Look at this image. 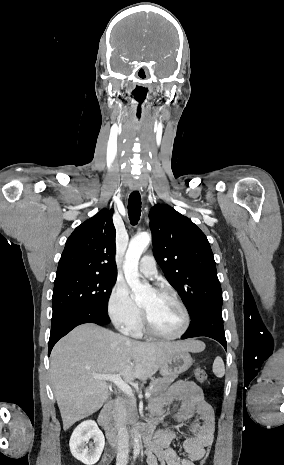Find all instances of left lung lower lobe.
Segmentation results:
<instances>
[{
  "mask_svg": "<svg viewBox=\"0 0 284 465\" xmlns=\"http://www.w3.org/2000/svg\"><path fill=\"white\" fill-rule=\"evenodd\" d=\"M206 336L217 340L227 350L223 327L222 308H206L191 318V323L182 339Z\"/></svg>",
  "mask_w": 284,
  "mask_h": 465,
  "instance_id": "0a47b994",
  "label": "left lung lower lobe"
}]
</instances>
